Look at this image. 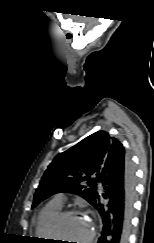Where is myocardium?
<instances>
[{"label": "myocardium", "instance_id": "1", "mask_svg": "<svg viewBox=\"0 0 154 243\" xmlns=\"http://www.w3.org/2000/svg\"><path fill=\"white\" fill-rule=\"evenodd\" d=\"M71 215H82L84 217H86L90 223V231L89 234L87 236V238L85 239V241H83V243H91V241L93 240L94 236H95V232H96V226L94 221L92 220V218L88 217L87 215H85L83 212L76 210V209H65V210H61L51 221L50 223V235L51 238L53 239H57L59 238L57 235V230L59 228L60 223L68 216Z\"/></svg>", "mask_w": 154, "mask_h": 243}]
</instances>
